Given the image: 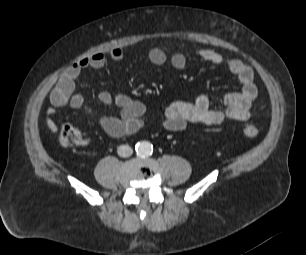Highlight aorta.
<instances>
[{
  "label": "aorta",
  "instance_id": "762f6f07",
  "mask_svg": "<svg viewBox=\"0 0 306 255\" xmlns=\"http://www.w3.org/2000/svg\"><path fill=\"white\" fill-rule=\"evenodd\" d=\"M135 151L138 156L147 157L153 153V145L148 141H141L136 144Z\"/></svg>",
  "mask_w": 306,
  "mask_h": 255
}]
</instances>
